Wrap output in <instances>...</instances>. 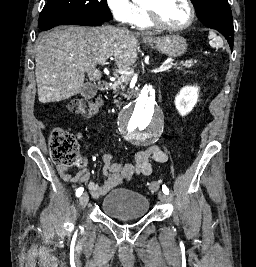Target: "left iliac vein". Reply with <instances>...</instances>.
Returning a JSON list of instances; mask_svg holds the SVG:
<instances>
[{
	"mask_svg": "<svg viewBox=\"0 0 256 267\" xmlns=\"http://www.w3.org/2000/svg\"><path fill=\"white\" fill-rule=\"evenodd\" d=\"M158 199L162 202H167L168 198L164 192H158Z\"/></svg>",
	"mask_w": 256,
	"mask_h": 267,
	"instance_id": "4c4485c4",
	"label": "left iliac vein"
}]
</instances>
